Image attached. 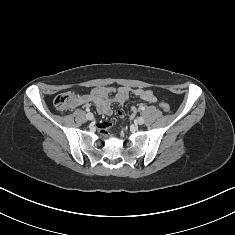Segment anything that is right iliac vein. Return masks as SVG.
<instances>
[{
    "label": "right iliac vein",
    "instance_id": "right-iliac-vein-1",
    "mask_svg": "<svg viewBox=\"0 0 235 235\" xmlns=\"http://www.w3.org/2000/svg\"><path fill=\"white\" fill-rule=\"evenodd\" d=\"M86 118H87L88 120H93L94 116H93L92 113L89 112V113H87Z\"/></svg>",
    "mask_w": 235,
    "mask_h": 235
}]
</instances>
